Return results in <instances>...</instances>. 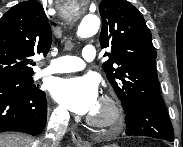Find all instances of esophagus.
I'll use <instances>...</instances> for the list:
<instances>
[{"mask_svg":"<svg viewBox=\"0 0 183 147\" xmlns=\"http://www.w3.org/2000/svg\"><path fill=\"white\" fill-rule=\"evenodd\" d=\"M70 134H71V138H72L73 142L77 146H82V147L88 146V142L84 141L75 130L71 129Z\"/></svg>","mask_w":183,"mask_h":147,"instance_id":"obj_1","label":"esophagus"}]
</instances>
